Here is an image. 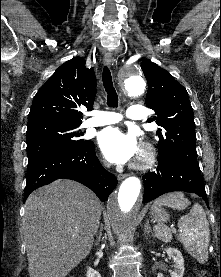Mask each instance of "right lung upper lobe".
Masks as SVG:
<instances>
[{"mask_svg": "<svg viewBox=\"0 0 221 277\" xmlns=\"http://www.w3.org/2000/svg\"><path fill=\"white\" fill-rule=\"evenodd\" d=\"M96 77L85 60L77 57L62 64L34 97L28 126L46 123L81 124V106L92 109Z\"/></svg>", "mask_w": 221, "mask_h": 277, "instance_id": "right-lung-upper-lobe-1", "label": "right lung upper lobe"}]
</instances>
